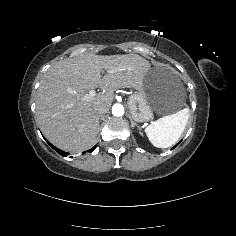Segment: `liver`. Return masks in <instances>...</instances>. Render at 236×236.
Returning <instances> with one entry per match:
<instances>
[{
    "label": "liver",
    "mask_w": 236,
    "mask_h": 236,
    "mask_svg": "<svg viewBox=\"0 0 236 236\" xmlns=\"http://www.w3.org/2000/svg\"><path fill=\"white\" fill-rule=\"evenodd\" d=\"M151 65L138 54H80L57 62L44 74L36 99V122L50 143L61 150L82 152L96 144L95 108L105 113L118 88H138ZM106 70V72H104ZM104 73V75H102ZM102 91L86 100L87 90Z\"/></svg>",
    "instance_id": "6515ba94"
}]
</instances>
